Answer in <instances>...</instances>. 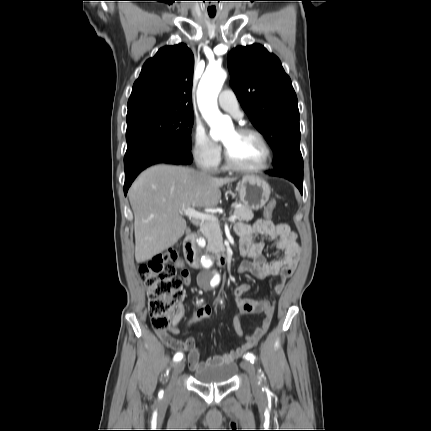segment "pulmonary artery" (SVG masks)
<instances>
[{
    "instance_id": "1",
    "label": "pulmonary artery",
    "mask_w": 431,
    "mask_h": 431,
    "mask_svg": "<svg viewBox=\"0 0 431 431\" xmlns=\"http://www.w3.org/2000/svg\"><path fill=\"white\" fill-rule=\"evenodd\" d=\"M218 104L223 110L231 113L236 118H240L243 115L237 97L230 89H225L219 94Z\"/></svg>"
}]
</instances>
